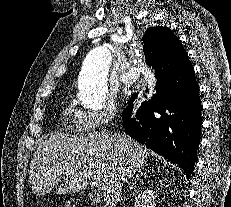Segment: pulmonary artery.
Wrapping results in <instances>:
<instances>
[{"instance_id":"1","label":"pulmonary artery","mask_w":231,"mask_h":207,"mask_svg":"<svg viewBox=\"0 0 231 207\" xmlns=\"http://www.w3.org/2000/svg\"><path fill=\"white\" fill-rule=\"evenodd\" d=\"M138 77V74H133L130 67L126 69V71L121 75L120 81L125 85L132 84Z\"/></svg>"}]
</instances>
